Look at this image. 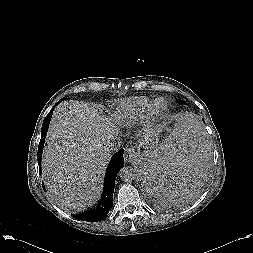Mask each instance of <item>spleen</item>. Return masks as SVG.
Returning a JSON list of instances; mask_svg holds the SVG:
<instances>
[{
  "label": "spleen",
  "instance_id": "obj_1",
  "mask_svg": "<svg viewBox=\"0 0 253 253\" xmlns=\"http://www.w3.org/2000/svg\"><path fill=\"white\" fill-rule=\"evenodd\" d=\"M201 124L189 117L169 131L154 153L146 173L150 195L160 202L175 204L192 198L202 183L206 141Z\"/></svg>",
  "mask_w": 253,
  "mask_h": 253
}]
</instances>
